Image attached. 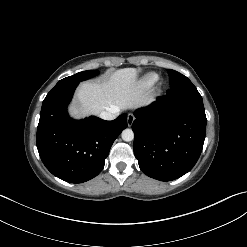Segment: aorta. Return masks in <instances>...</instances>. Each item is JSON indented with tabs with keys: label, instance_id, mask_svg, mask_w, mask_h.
I'll return each mask as SVG.
<instances>
[{
	"label": "aorta",
	"instance_id": "aorta-1",
	"mask_svg": "<svg viewBox=\"0 0 247 247\" xmlns=\"http://www.w3.org/2000/svg\"><path fill=\"white\" fill-rule=\"evenodd\" d=\"M121 136L124 141L129 142L134 139V132L132 129H125L122 131Z\"/></svg>",
	"mask_w": 247,
	"mask_h": 247
}]
</instances>
